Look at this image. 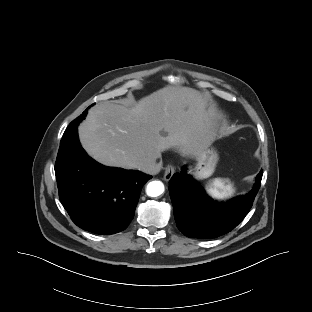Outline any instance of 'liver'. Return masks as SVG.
<instances>
[{
    "instance_id": "1",
    "label": "liver",
    "mask_w": 312,
    "mask_h": 312,
    "mask_svg": "<svg viewBox=\"0 0 312 312\" xmlns=\"http://www.w3.org/2000/svg\"><path fill=\"white\" fill-rule=\"evenodd\" d=\"M208 98L188 87L168 86L128 108L112 101L92 107L79 128L85 151L99 163L137 169L145 159L176 149L197 156L217 136L220 116Z\"/></svg>"
}]
</instances>
